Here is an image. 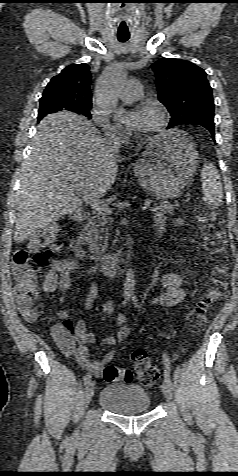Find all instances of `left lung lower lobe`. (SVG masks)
Segmentation results:
<instances>
[{"label": "left lung lower lobe", "mask_w": 238, "mask_h": 476, "mask_svg": "<svg viewBox=\"0 0 238 476\" xmlns=\"http://www.w3.org/2000/svg\"><path fill=\"white\" fill-rule=\"evenodd\" d=\"M199 125H201V126L205 127L206 129H208V130L210 131V133L212 134V138H213V140H214V135H215V130H214V127H215V126H214V123H212V122H206V123H201V124H199Z\"/></svg>", "instance_id": "left-lung-lower-lobe-1"}]
</instances>
